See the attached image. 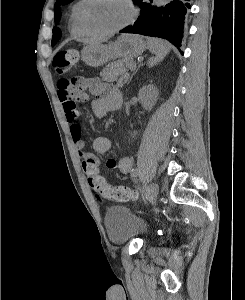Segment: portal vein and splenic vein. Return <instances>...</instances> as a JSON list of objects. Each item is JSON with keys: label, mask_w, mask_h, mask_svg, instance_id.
<instances>
[{"label": "portal vein and splenic vein", "mask_w": 245, "mask_h": 300, "mask_svg": "<svg viewBox=\"0 0 245 300\" xmlns=\"http://www.w3.org/2000/svg\"><path fill=\"white\" fill-rule=\"evenodd\" d=\"M136 64L135 63H131V66L134 67Z\"/></svg>", "instance_id": "obj_1"}]
</instances>
